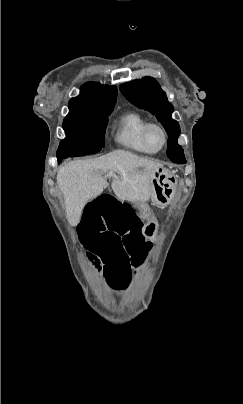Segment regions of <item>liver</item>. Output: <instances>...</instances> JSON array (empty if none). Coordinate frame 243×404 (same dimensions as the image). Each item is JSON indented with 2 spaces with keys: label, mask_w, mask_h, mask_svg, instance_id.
<instances>
[{
  "label": "liver",
  "mask_w": 243,
  "mask_h": 404,
  "mask_svg": "<svg viewBox=\"0 0 243 404\" xmlns=\"http://www.w3.org/2000/svg\"><path fill=\"white\" fill-rule=\"evenodd\" d=\"M161 166L150 158H139L125 150H115L92 160L68 162L57 172L56 180L65 196L69 224L77 226L85 204L109 186L105 178L108 170L114 174L111 188L115 196L137 204L150 200V176L152 170Z\"/></svg>",
  "instance_id": "liver-1"
}]
</instances>
